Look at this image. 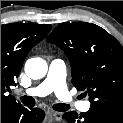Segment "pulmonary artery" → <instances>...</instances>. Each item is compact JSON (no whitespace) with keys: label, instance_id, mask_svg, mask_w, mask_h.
Here are the masks:
<instances>
[{"label":"pulmonary artery","instance_id":"pulmonary-artery-1","mask_svg":"<svg viewBox=\"0 0 123 123\" xmlns=\"http://www.w3.org/2000/svg\"><path fill=\"white\" fill-rule=\"evenodd\" d=\"M65 79V63L59 59L53 60L49 66L46 78L38 86L27 89L25 94L34 97H44L54 92L65 103H71L73 99L69 94ZM77 106L82 111H88L90 108V104L87 101L81 102Z\"/></svg>","mask_w":123,"mask_h":123}]
</instances>
